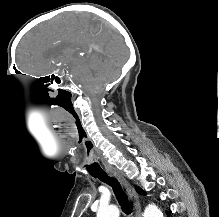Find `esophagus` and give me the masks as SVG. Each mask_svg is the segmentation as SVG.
Instances as JSON below:
<instances>
[{"label": "esophagus", "mask_w": 219, "mask_h": 217, "mask_svg": "<svg viewBox=\"0 0 219 217\" xmlns=\"http://www.w3.org/2000/svg\"><path fill=\"white\" fill-rule=\"evenodd\" d=\"M107 172L110 176L116 178L125 188L130 201L133 203L135 217H142V209L139 196L130 182L116 169L109 168Z\"/></svg>", "instance_id": "obj_1"}]
</instances>
